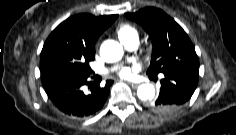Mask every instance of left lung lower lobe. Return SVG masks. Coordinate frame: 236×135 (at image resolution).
I'll use <instances>...</instances> for the list:
<instances>
[{
	"instance_id": "left-lung-lower-lobe-1",
	"label": "left lung lower lobe",
	"mask_w": 236,
	"mask_h": 135,
	"mask_svg": "<svg viewBox=\"0 0 236 135\" xmlns=\"http://www.w3.org/2000/svg\"><path fill=\"white\" fill-rule=\"evenodd\" d=\"M163 74L159 96L150 107L159 113H169L184 105L193 95L199 80V63L172 68Z\"/></svg>"
}]
</instances>
